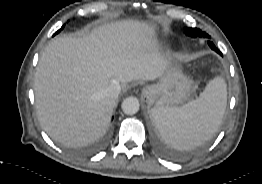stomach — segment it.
Returning <instances> with one entry per match:
<instances>
[{
    "label": "stomach",
    "instance_id": "stomach-1",
    "mask_svg": "<svg viewBox=\"0 0 262 184\" xmlns=\"http://www.w3.org/2000/svg\"><path fill=\"white\" fill-rule=\"evenodd\" d=\"M193 82L177 67H170L156 84L144 88L142 95L154 100L156 106L176 107L188 101Z\"/></svg>",
    "mask_w": 262,
    "mask_h": 184
}]
</instances>
